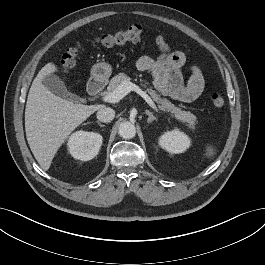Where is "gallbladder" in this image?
I'll use <instances>...</instances> for the list:
<instances>
[{"label": "gallbladder", "mask_w": 265, "mask_h": 265, "mask_svg": "<svg viewBox=\"0 0 265 265\" xmlns=\"http://www.w3.org/2000/svg\"><path fill=\"white\" fill-rule=\"evenodd\" d=\"M42 83L50 91H52L53 93H55V94H57L63 98H67V99L74 101V102H77L80 99L79 96H77L76 94L69 92L67 87L63 83V81H61L59 79V77H57L54 74L47 75L43 79Z\"/></svg>", "instance_id": "1"}]
</instances>
